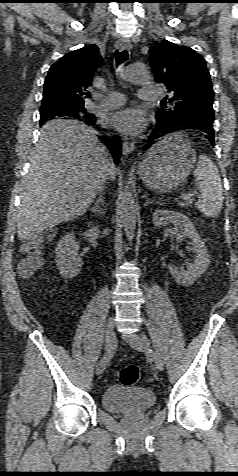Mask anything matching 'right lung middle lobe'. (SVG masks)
Masks as SVG:
<instances>
[{"label":"right lung middle lobe","mask_w":238,"mask_h":476,"mask_svg":"<svg viewBox=\"0 0 238 476\" xmlns=\"http://www.w3.org/2000/svg\"><path fill=\"white\" fill-rule=\"evenodd\" d=\"M40 123L55 117H71L87 122L95 121L94 115L88 113L84 105H71L63 102L44 101L41 104Z\"/></svg>","instance_id":"obj_1"}]
</instances>
